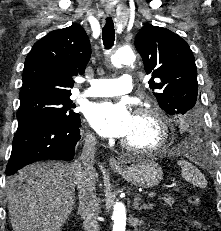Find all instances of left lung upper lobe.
<instances>
[{
  "label": "left lung upper lobe",
  "instance_id": "obj_1",
  "mask_svg": "<svg viewBox=\"0 0 221 231\" xmlns=\"http://www.w3.org/2000/svg\"><path fill=\"white\" fill-rule=\"evenodd\" d=\"M135 47L151 74L149 86L160 107L168 114L190 117L198 106V83L187 42L166 28L147 24L138 32Z\"/></svg>",
  "mask_w": 221,
  "mask_h": 231
}]
</instances>
